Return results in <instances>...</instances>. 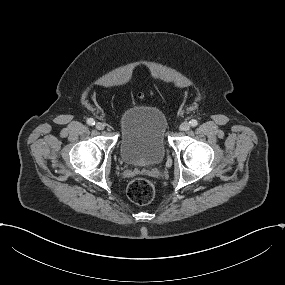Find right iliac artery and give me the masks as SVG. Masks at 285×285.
Instances as JSON below:
<instances>
[{
    "mask_svg": "<svg viewBox=\"0 0 285 285\" xmlns=\"http://www.w3.org/2000/svg\"><path fill=\"white\" fill-rule=\"evenodd\" d=\"M87 124L88 125H95V121H94V119H92V118H89L88 120H87Z\"/></svg>",
    "mask_w": 285,
    "mask_h": 285,
    "instance_id": "right-iliac-artery-1",
    "label": "right iliac artery"
}]
</instances>
